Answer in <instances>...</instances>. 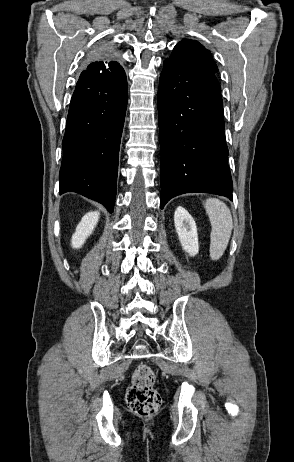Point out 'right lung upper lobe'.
Segmentation results:
<instances>
[{"label":"right lung upper lobe","mask_w":294,"mask_h":462,"mask_svg":"<svg viewBox=\"0 0 294 462\" xmlns=\"http://www.w3.org/2000/svg\"><path fill=\"white\" fill-rule=\"evenodd\" d=\"M124 73L122 66L116 61L113 51H104L94 55L91 63L81 73L76 87L109 82Z\"/></svg>","instance_id":"obj_1"}]
</instances>
